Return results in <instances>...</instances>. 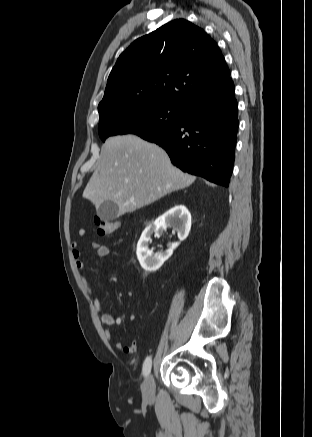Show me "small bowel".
<instances>
[{
	"mask_svg": "<svg viewBox=\"0 0 312 437\" xmlns=\"http://www.w3.org/2000/svg\"><path fill=\"white\" fill-rule=\"evenodd\" d=\"M86 231L84 229L78 230L79 237H84ZM72 255L74 258L75 265L78 269L83 270L85 264L82 260V252L79 249V245L77 242H72ZM92 248L95 250L96 256L98 258H105L110 254V249L108 246L100 244L98 242L92 243ZM82 282L89 295L93 299L95 308L98 312H103L101 315V323L106 327L105 329V337L114 342V346L116 349L121 350L125 354H134L137 351L138 342L136 340L131 341L128 345H124L119 339H115L112 331L110 330L113 326H119L123 323V317L120 314H110L105 313V303L100 300L98 294L92 288L90 282L82 277Z\"/></svg>",
	"mask_w": 312,
	"mask_h": 437,
	"instance_id": "c3829d8e",
	"label": "small bowel"
}]
</instances>
